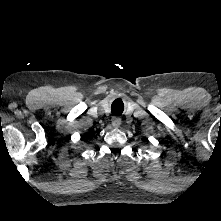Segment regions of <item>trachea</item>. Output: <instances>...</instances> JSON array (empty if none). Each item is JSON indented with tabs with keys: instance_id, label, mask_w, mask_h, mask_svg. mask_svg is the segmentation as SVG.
Listing matches in <instances>:
<instances>
[{
	"instance_id": "3493384b",
	"label": "trachea",
	"mask_w": 221,
	"mask_h": 221,
	"mask_svg": "<svg viewBox=\"0 0 221 221\" xmlns=\"http://www.w3.org/2000/svg\"><path fill=\"white\" fill-rule=\"evenodd\" d=\"M124 110V104L121 100H116L111 106V112L113 115H121Z\"/></svg>"
}]
</instances>
